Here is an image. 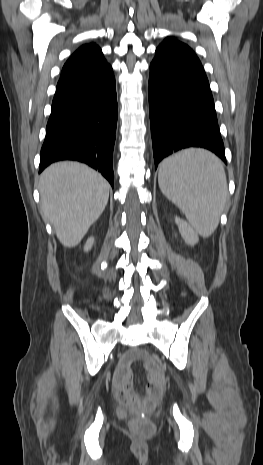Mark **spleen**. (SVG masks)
Masks as SVG:
<instances>
[{
    "label": "spleen",
    "mask_w": 263,
    "mask_h": 465,
    "mask_svg": "<svg viewBox=\"0 0 263 465\" xmlns=\"http://www.w3.org/2000/svg\"><path fill=\"white\" fill-rule=\"evenodd\" d=\"M158 182L198 234L208 237L215 231L228 195L219 158L202 149L178 152L161 163Z\"/></svg>",
    "instance_id": "3e777b00"
}]
</instances>
